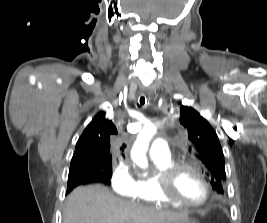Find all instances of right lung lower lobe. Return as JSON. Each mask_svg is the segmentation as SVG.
<instances>
[{
	"label": "right lung lower lobe",
	"instance_id": "obj_1",
	"mask_svg": "<svg viewBox=\"0 0 267 223\" xmlns=\"http://www.w3.org/2000/svg\"><path fill=\"white\" fill-rule=\"evenodd\" d=\"M90 182H102L104 184H107L109 182V177H106L103 174L91 172H79L73 175H69L67 193H69L74 187L80 184Z\"/></svg>",
	"mask_w": 267,
	"mask_h": 223
}]
</instances>
